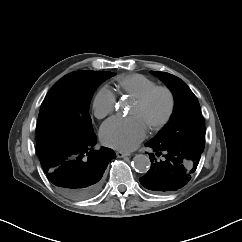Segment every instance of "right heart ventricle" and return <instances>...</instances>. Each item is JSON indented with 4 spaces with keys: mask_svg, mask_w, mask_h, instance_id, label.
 I'll use <instances>...</instances> for the list:
<instances>
[{
    "mask_svg": "<svg viewBox=\"0 0 242 242\" xmlns=\"http://www.w3.org/2000/svg\"><path fill=\"white\" fill-rule=\"evenodd\" d=\"M116 85L120 94L135 99L157 84L154 80L143 74L129 73L118 76Z\"/></svg>",
    "mask_w": 242,
    "mask_h": 242,
    "instance_id": "obj_1",
    "label": "right heart ventricle"
}]
</instances>
